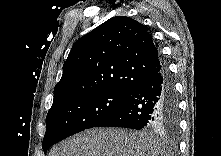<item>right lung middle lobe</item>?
Segmentation results:
<instances>
[{
  "label": "right lung middle lobe",
  "instance_id": "obj_1",
  "mask_svg": "<svg viewBox=\"0 0 221 156\" xmlns=\"http://www.w3.org/2000/svg\"><path fill=\"white\" fill-rule=\"evenodd\" d=\"M129 98L128 93L101 91L53 105L47 114L42 149L85 129L96 127Z\"/></svg>",
  "mask_w": 221,
  "mask_h": 156
}]
</instances>
